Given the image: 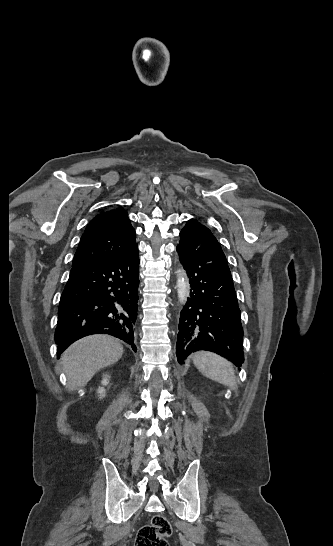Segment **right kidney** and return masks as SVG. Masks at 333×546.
Listing matches in <instances>:
<instances>
[{"mask_svg":"<svg viewBox=\"0 0 333 546\" xmlns=\"http://www.w3.org/2000/svg\"><path fill=\"white\" fill-rule=\"evenodd\" d=\"M109 382V375H104L103 377V380H102V384L103 385H107ZM98 393L100 394V396H104V389L103 388H99L98 389Z\"/></svg>","mask_w":333,"mask_h":546,"instance_id":"1","label":"right kidney"}]
</instances>
